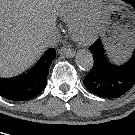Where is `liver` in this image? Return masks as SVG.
Listing matches in <instances>:
<instances>
[{"label":"liver","instance_id":"liver-1","mask_svg":"<svg viewBox=\"0 0 135 135\" xmlns=\"http://www.w3.org/2000/svg\"><path fill=\"white\" fill-rule=\"evenodd\" d=\"M60 0H0V77L16 76L44 53Z\"/></svg>","mask_w":135,"mask_h":135}]
</instances>
